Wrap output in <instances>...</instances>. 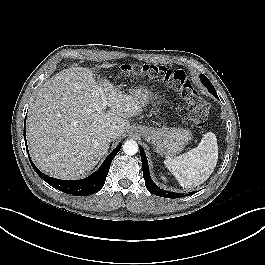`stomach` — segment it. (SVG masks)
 <instances>
[{
	"instance_id": "1",
	"label": "stomach",
	"mask_w": 265,
	"mask_h": 265,
	"mask_svg": "<svg viewBox=\"0 0 265 265\" xmlns=\"http://www.w3.org/2000/svg\"><path fill=\"white\" fill-rule=\"evenodd\" d=\"M132 94L144 105L158 95L146 86H140L133 90ZM136 131L148 142H151L155 151L160 155H172L179 153L192 140V132L183 127L154 128L139 126Z\"/></svg>"
}]
</instances>
